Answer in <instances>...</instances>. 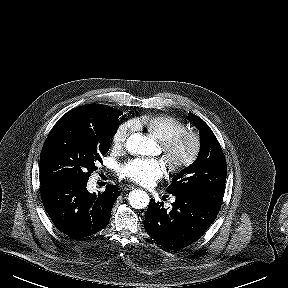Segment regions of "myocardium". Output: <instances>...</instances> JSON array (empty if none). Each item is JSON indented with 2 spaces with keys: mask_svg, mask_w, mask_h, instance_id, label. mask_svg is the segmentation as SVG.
Segmentation results:
<instances>
[{
  "mask_svg": "<svg viewBox=\"0 0 288 288\" xmlns=\"http://www.w3.org/2000/svg\"><path fill=\"white\" fill-rule=\"evenodd\" d=\"M183 142L190 143L188 152L184 154L180 152ZM160 145L169 168L174 172H179L195 163L199 157L202 142L196 130L185 128L160 141Z\"/></svg>",
  "mask_w": 288,
  "mask_h": 288,
  "instance_id": "obj_1",
  "label": "myocardium"
}]
</instances>
